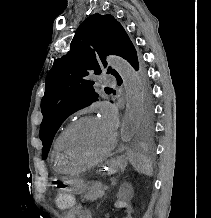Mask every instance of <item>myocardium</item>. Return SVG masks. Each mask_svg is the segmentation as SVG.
<instances>
[{
	"label": "myocardium",
	"mask_w": 211,
	"mask_h": 218,
	"mask_svg": "<svg viewBox=\"0 0 211 218\" xmlns=\"http://www.w3.org/2000/svg\"><path fill=\"white\" fill-rule=\"evenodd\" d=\"M97 117L95 115H85L82 116L78 119H76L75 121H73L72 123L69 124V126L66 128V130L64 131L62 138H61V144L59 147V151H58V158L61 160L62 163L64 164H68L69 160L65 158V154L63 152L64 147L66 145L67 139L69 134L77 127L79 126L81 123L89 121V120H93L96 119ZM117 144V133L115 131H113V138H112V143L110 144V146L100 155H98L97 157L88 160V161H83V162H72L73 165L75 166H80V167H90L93 166L97 163H99L100 161L104 160L105 158H107L115 149Z\"/></svg>",
	"instance_id": "obj_1"
}]
</instances>
